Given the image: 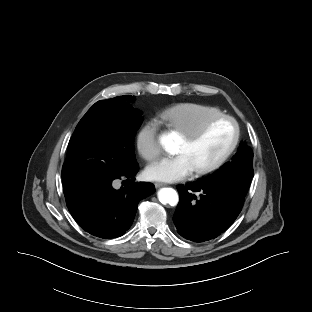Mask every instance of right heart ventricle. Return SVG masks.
<instances>
[{
	"mask_svg": "<svg viewBox=\"0 0 312 312\" xmlns=\"http://www.w3.org/2000/svg\"><path fill=\"white\" fill-rule=\"evenodd\" d=\"M222 114L221 110L198 103H181L159 114V119L170 129L186 134L196 130L206 120Z\"/></svg>",
	"mask_w": 312,
	"mask_h": 312,
	"instance_id": "obj_1",
	"label": "right heart ventricle"
}]
</instances>
